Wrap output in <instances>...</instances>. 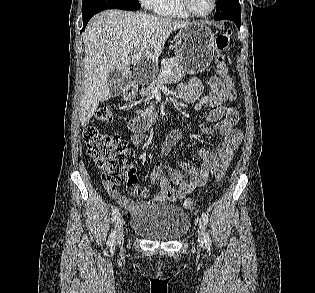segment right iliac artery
Masks as SVG:
<instances>
[{
	"label": "right iliac artery",
	"instance_id": "1",
	"mask_svg": "<svg viewBox=\"0 0 315 293\" xmlns=\"http://www.w3.org/2000/svg\"><path fill=\"white\" fill-rule=\"evenodd\" d=\"M118 214H119V209H118V208H115V209L113 210V212H112V221H113V222L116 220ZM108 244H109V246H111V247H114V245H115V232H114V231H112L111 234H110V236H109Z\"/></svg>",
	"mask_w": 315,
	"mask_h": 293
}]
</instances>
